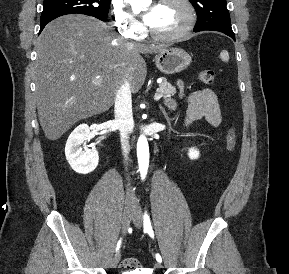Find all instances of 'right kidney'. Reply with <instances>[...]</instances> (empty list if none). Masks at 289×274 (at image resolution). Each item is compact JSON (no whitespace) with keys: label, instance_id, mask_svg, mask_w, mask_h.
<instances>
[{"label":"right kidney","instance_id":"obj_1","mask_svg":"<svg viewBox=\"0 0 289 274\" xmlns=\"http://www.w3.org/2000/svg\"><path fill=\"white\" fill-rule=\"evenodd\" d=\"M90 127L80 124L68 137L65 146V155L71 168L80 174H88L96 169L99 155L96 149L82 150L83 143L89 138Z\"/></svg>","mask_w":289,"mask_h":274}]
</instances>
